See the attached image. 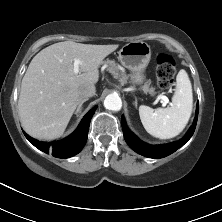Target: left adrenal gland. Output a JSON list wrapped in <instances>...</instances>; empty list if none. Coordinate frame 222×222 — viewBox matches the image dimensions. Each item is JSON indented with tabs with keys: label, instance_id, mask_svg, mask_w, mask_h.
<instances>
[{
	"label": "left adrenal gland",
	"instance_id": "left-adrenal-gland-1",
	"mask_svg": "<svg viewBox=\"0 0 222 222\" xmlns=\"http://www.w3.org/2000/svg\"><path fill=\"white\" fill-rule=\"evenodd\" d=\"M135 107H137V98L135 97V102H134Z\"/></svg>",
	"mask_w": 222,
	"mask_h": 222
}]
</instances>
